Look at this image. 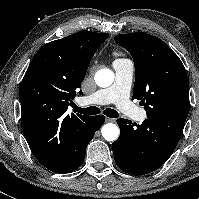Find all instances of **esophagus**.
Masks as SVG:
<instances>
[{
  "label": "esophagus",
  "mask_w": 199,
  "mask_h": 199,
  "mask_svg": "<svg viewBox=\"0 0 199 199\" xmlns=\"http://www.w3.org/2000/svg\"><path fill=\"white\" fill-rule=\"evenodd\" d=\"M106 122H115V119L107 117Z\"/></svg>",
  "instance_id": "34e87169"
}]
</instances>
